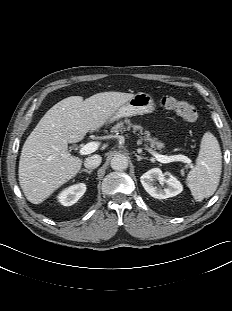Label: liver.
<instances>
[{
	"label": "liver",
	"mask_w": 232,
	"mask_h": 311,
	"mask_svg": "<svg viewBox=\"0 0 232 311\" xmlns=\"http://www.w3.org/2000/svg\"><path fill=\"white\" fill-rule=\"evenodd\" d=\"M132 93L102 92L83 100L67 97L41 118L26 139L19 160V183L27 200L40 204L80 170L82 159L68 152V143L102 127Z\"/></svg>",
	"instance_id": "1"
}]
</instances>
